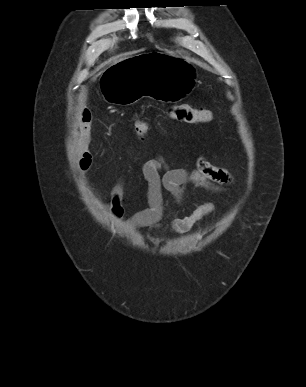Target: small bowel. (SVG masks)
<instances>
[{
    "label": "small bowel",
    "mask_w": 306,
    "mask_h": 387,
    "mask_svg": "<svg viewBox=\"0 0 306 387\" xmlns=\"http://www.w3.org/2000/svg\"><path fill=\"white\" fill-rule=\"evenodd\" d=\"M91 117L88 112L82 114L78 166L81 171H87L92 165V154L89 151L91 141ZM142 174L147 183L148 207L134 213L126 225L130 229L151 228L156 229L161 225L164 216V197L166 191L174 202L181 205L184 200V188L187 184L205 189L212 193H222L225 186L232 182L231 174L223 168L213 165L205 157L197 159L192 170L180 168L171 169L165 158L157 155L142 165ZM125 182L118 180L110 193V214L114 220H121L124 215L123 197ZM216 210V205L206 202L197 206L189 215L175 218L171 222V229L175 233H186L206 216Z\"/></svg>",
    "instance_id": "obj_1"
}]
</instances>
